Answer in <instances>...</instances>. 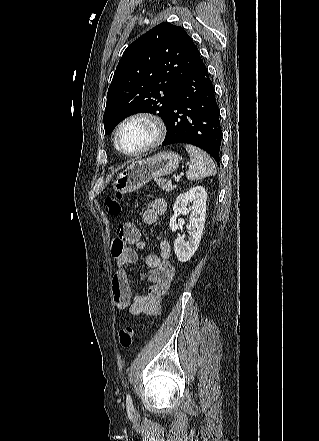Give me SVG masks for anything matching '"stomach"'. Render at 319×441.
I'll use <instances>...</instances> for the list:
<instances>
[{
	"label": "stomach",
	"mask_w": 319,
	"mask_h": 441,
	"mask_svg": "<svg viewBox=\"0 0 319 441\" xmlns=\"http://www.w3.org/2000/svg\"><path fill=\"white\" fill-rule=\"evenodd\" d=\"M179 162V155L173 151L135 160L117 175L112 183L113 189L120 193H132L153 178L173 173L178 168Z\"/></svg>",
	"instance_id": "0dacf381"
}]
</instances>
